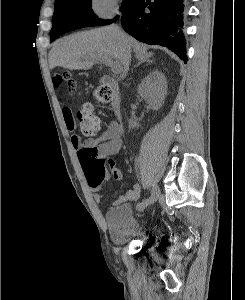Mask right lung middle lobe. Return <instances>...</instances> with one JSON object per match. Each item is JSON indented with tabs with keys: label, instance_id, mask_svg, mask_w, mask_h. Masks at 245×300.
Returning a JSON list of instances; mask_svg holds the SVG:
<instances>
[{
	"label": "right lung middle lobe",
	"instance_id": "right-lung-middle-lobe-1",
	"mask_svg": "<svg viewBox=\"0 0 245 300\" xmlns=\"http://www.w3.org/2000/svg\"><path fill=\"white\" fill-rule=\"evenodd\" d=\"M136 0H123L120 11L122 14L129 9ZM117 15L112 20H101L93 14L91 9V0H57L54 7L52 18V29L50 32V41H54L57 36L55 24L59 20H72L83 24V27L108 25L117 20Z\"/></svg>",
	"mask_w": 245,
	"mask_h": 300
}]
</instances>
